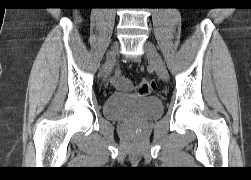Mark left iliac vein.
Returning a JSON list of instances; mask_svg holds the SVG:
<instances>
[{"instance_id": "4c4485c4", "label": "left iliac vein", "mask_w": 251, "mask_h": 180, "mask_svg": "<svg viewBox=\"0 0 251 180\" xmlns=\"http://www.w3.org/2000/svg\"><path fill=\"white\" fill-rule=\"evenodd\" d=\"M143 47L150 64L155 69L158 76L163 81H168L169 74L167 68L154 44L150 41H146Z\"/></svg>"}]
</instances>
